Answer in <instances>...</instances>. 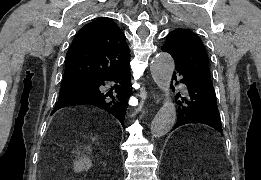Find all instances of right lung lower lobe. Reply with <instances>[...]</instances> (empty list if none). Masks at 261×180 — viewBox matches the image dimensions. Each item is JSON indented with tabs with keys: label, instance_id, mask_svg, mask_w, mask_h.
<instances>
[{
	"label": "right lung lower lobe",
	"instance_id": "1",
	"mask_svg": "<svg viewBox=\"0 0 261 180\" xmlns=\"http://www.w3.org/2000/svg\"><path fill=\"white\" fill-rule=\"evenodd\" d=\"M130 75L129 65L120 71L105 75L96 80V84L91 92H80L58 99L53 113L69 105L89 104L105 109L123 124L128 107V99L132 91ZM104 81H114L119 83L120 86L115 85V93H104L99 90Z\"/></svg>",
	"mask_w": 261,
	"mask_h": 180
}]
</instances>
